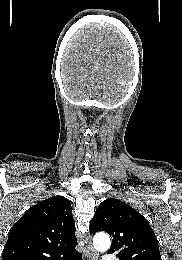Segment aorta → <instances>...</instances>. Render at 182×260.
<instances>
[{
	"instance_id": "obj_1",
	"label": "aorta",
	"mask_w": 182,
	"mask_h": 260,
	"mask_svg": "<svg viewBox=\"0 0 182 260\" xmlns=\"http://www.w3.org/2000/svg\"><path fill=\"white\" fill-rule=\"evenodd\" d=\"M110 245V238L105 233H98L93 238V246L98 251L104 252L109 249Z\"/></svg>"
}]
</instances>
